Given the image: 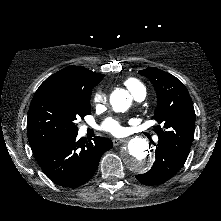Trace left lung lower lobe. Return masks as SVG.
I'll return each mask as SVG.
<instances>
[{
  "label": "left lung lower lobe",
  "instance_id": "obj_1",
  "mask_svg": "<svg viewBox=\"0 0 221 221\" xmlns=\"http://www.w3.org/2000/svg\"><path fill=\"white\" fill-rule=\"evenodd\" d=\"M155 150V162L152 168L145 174H139L136 178L146 185H157L172 178L184 165L177 155H175L164 144L158 143Z\"/></svg>",
  "mask_w": 221,
  "mask_h": 221
}]
</instances>
